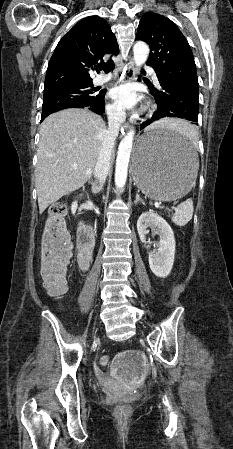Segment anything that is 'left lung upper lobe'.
Instances as JSON below:
<instances>
[{
    "instance_id": "5c2ea615",
    "label": "left lung upper lobe",
    "mask_w": 233,
    "mask_h": 449,
    "mask_svg": "<svg viewBox=\"0 0 233 449\" xmlns=\"http://www.w3.org/2000/svg\"><path fill=\"white\" fill-rule=\"evenodd\" d=\"M137 40L149 44L147 65L157 76L198 96V79L193 53L178 27L167 17L145 13L139 23Z\"/></svg>"
}]
</instances>
